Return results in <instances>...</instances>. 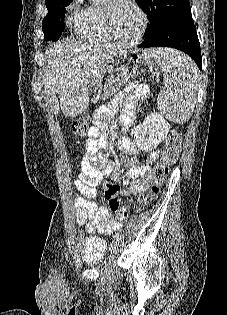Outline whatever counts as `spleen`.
Listing matches in <instances>:
<instances>
[{"label": "spleen", "mask_w": 227, "mask_h": 315, "mask_svg": "<svg viewBox=\"0 0 227 315\" xmlns=\"http://www.w3.org/2000/svg\"><path fill=\"white\" fill-rule=\"evenodd\" d=\"M149 54L164 72V89L157 98L161 115L175 123L187 122L196 103L197 68L173 49H154Z\"/></svg>", "instance_id": "obj_1"}]
</instances>
